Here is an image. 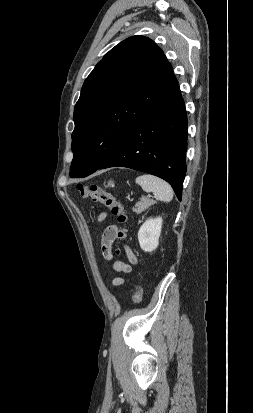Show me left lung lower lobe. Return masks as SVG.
Returning a JSON list of instances; mask_svg holds the SVG:
<instances>
[{
	"mask_svg": "<svg viewBox=\"0 0 253 413\" xmlns=\"http://www.w3.org/2000/svg\"><path fill=\"white\" fill-rule=\"evenodd\" d=\"M187 123L184 100L173 76L99 169L121 166L158 176L172 186L181 200L186 174Z\"/></svg>",
	"mask_w": 253,
	"mask_h": 413,
	"instance_id": "0a47b994",
	"label": "left lung lower lobe"
}]
</instances>
